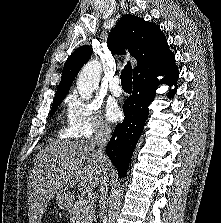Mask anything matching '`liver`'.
<instances>
[{
    "instance_id": "liver-1",
    "label": "liver",
    "mask_w": 221,
    "mask_h": 223,
    "mask_svg": "<svg viewBox=\"0 0 221 223\" xmlns=\"http://www.w3.org/2000/svg\"><path fill=\"white\" fill-rule=\"evenodd\" d=\"M110 170L88 140H56L40 150L33 162L28 182V216L30 223H41L48 202L55 196L78 188H96Z\"/></svg>"
}]
</instances>
